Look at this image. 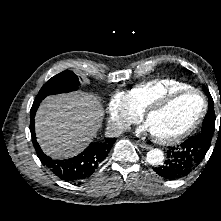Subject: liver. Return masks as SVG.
I'll use <instances>...</instances> for the list:
<instances>
[{"mask_svg":"<svg viewBox=\"0 0 221 221\" xmlns=\"http://www.w3.org/2000/svg\"><path fill=\"white\" fill-rule=\"evenodd\" d=\"M103 114L99 99L86 92L48 96L35 116L40 147L55 159L78 154L96 137Z\"/></svg>","mask_w":221,"mask_h":221,"instance_id":"1","label":"liver"}]
</instances>
